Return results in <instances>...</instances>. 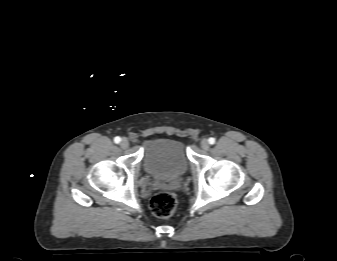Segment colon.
<instances>
[{
    "label": "colon",
    "instance_id": "colon-1",
    "mask_svg": "<svg viewBox=\"0 0 337 261\" xmlns=\"http://www.w3.org/2000/svg\"><path fill=\"white\" fill-rule=\"evenodd\" d=\"M178 201L171 192H158L151 199L150 207L153 214L159 218H170L177 210Z\"/></svg>",
    "mask_w": 337,
    "mask_h": 261
}]
</instances>
